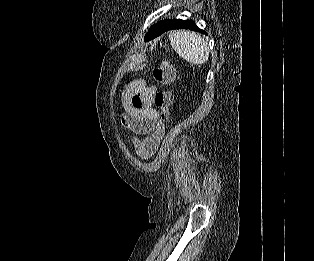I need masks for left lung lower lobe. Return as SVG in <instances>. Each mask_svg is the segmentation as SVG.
I'll use <instances>...</instances> for the list:
<instances>
[{
  "label": "left lung lower lobe",
  "instance_id": "obj_1",
  "mask_svg": "<svg viewBox=\"0 0 314 261\" xmlns=\"http://www.w3.org/2000/svg\"><path fill=\"white\" fill-rule=\"evenodd\" d=\"M173 29H189L193 31H198L200 33H205L204 31L200 30L192 20H181V19H175L170 20L167 24H165L157 33L154 34L152 39L158 37L162 33L168 30Z\"/></svg>",
  "mask_w": 314,
  "mask_h": 261
}]
</instances>
